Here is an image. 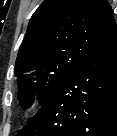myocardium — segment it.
Masks as SVG:
<instances>
[{"label": "myocardium", "mask_w": 117, "mask_h": 136, "mask_svg": "<svg viewBox=\"0 0 117 136\" xmlns=\"http://www.w3.org/2000/svg\"><path fill=\"white\" fill-rule=\"evenodd\" d=\"M36 105H37V103H36V102H34V103H32V104H31V107H30V108H31V109H33V108H35V107H36Z\"/></svg>", "instance_id": "obj_1"}]
</instances>
